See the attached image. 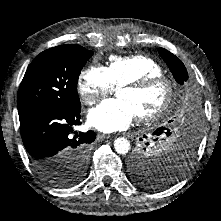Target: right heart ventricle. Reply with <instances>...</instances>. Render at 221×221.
Segmentation results:
<instances>
[{"label": "right heart ventricle", "instance_id": "obj_1", "mask_svg": "<svg viewBox=\"0 0 221 221\" xmlns=\"http://www.w3.org/2000/svg\"><path fill=\"white\" fill-rule=\"evenodd\" d=\"M107 69L115 87L147 76L163 74V68L158 62L141 54L114 56L110 59Z\"/></svg>", "mask_w": 221, "mask_h": 221}]
</instances>
